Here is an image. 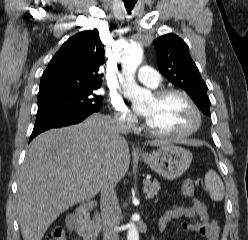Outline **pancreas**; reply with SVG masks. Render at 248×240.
<instances>
[{
	"label": "pancreas",
	"instance_id": "1",
	"mask_svg": "<svg viewBox=\"0 0 248 240\" xmlns=\"http://www.w3.org/2000/svg\"><path fill=\"white\" fill-rule=\"evenodd\" d=\"M144 193L146 194L147 198H153L155 195H157L159 189H160V184L157 180H154L153 182L150 181H145L144 182ZM95 224L98 226L99 225V219L96 218L94 220Z\"/></svg>",
	"mask_w": 248,
	"mask_h": 240
}]
</instances>
